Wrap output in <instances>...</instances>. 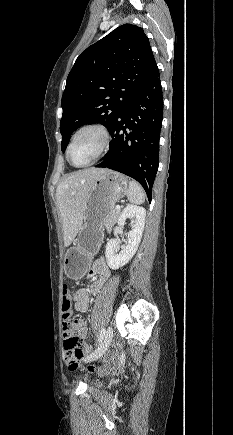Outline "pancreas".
Returning a JSON list of instances; mask_svg holds the SVG:
<instances>
[{
  "instance_id": "obj_1",
  "label": "pancreas",
  "mask_w": 233,
  "mask_h": 435,
  "mask_svg": "<svg viewBox=\"0 0 233 435\" xmlns=\"http://www.w3.org/2000/svg\"><path fill=\"white\" fill-rule=\"evenodd\" d=\"M120 214V211L117 210L116 208H113L110 212H109V216L108 219L106 221V228L109 230L111 228V226L114 224V222L117 220L118 216Z\"/></svg>"
}]
</instances>
